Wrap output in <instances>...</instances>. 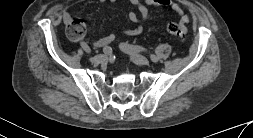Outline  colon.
<instances>
[{
    "label": "colon",
    "instance_id": "1",
    "mask_svg": "<svg viewBox=\"0 0 253 138\" xmlns=\"http://www.w3.org/2000/svg\"><path fill=\"white\" fill-rule=\"evenodd\" d=\"M166 30L170 35L178 39H184L187 32L183 23L178 24L174 22L168 23L166 26ZM66 32H67V35L72 40L78 41V40H81L85 36L86 27L82 20L72 19L71 21L67 23Z\"/></svg>",
    "mask_w": 253,
    "mask_h": 138
}]
</instances>
